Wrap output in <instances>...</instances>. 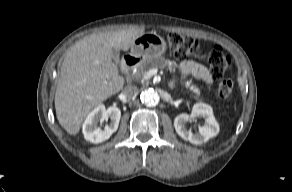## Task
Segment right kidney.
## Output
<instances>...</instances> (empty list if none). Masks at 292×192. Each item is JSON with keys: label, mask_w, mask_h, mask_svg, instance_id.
<instances>
[{"label": "right kidney", "mask_w": 292, "mask_h": 192, "mask_svg": "<svg viewBox=\"0 0 292 192\" xmlns=\"http://www.w3.org/2000/svg\"><path fill=\"white\" fill-rule=\"evenodd\" d=\"M111 119L109 125H106L104 130L97 127L99 121ZM121 118V111L117 107L105 108L100 104L95 107L87 116L83 124L84 138L92 143H101L110 138V136L118 129Z\"/></svg>", "instance_id": "obj_1"}]
</instances>
